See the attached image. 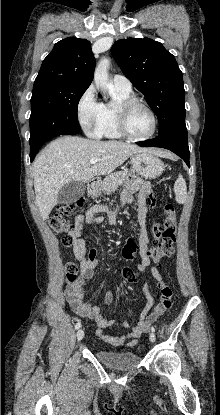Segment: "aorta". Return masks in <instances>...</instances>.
I'll use <instances>...</instances> for the list:
<instances>
[{
	"label": "aorta",
	"instance_id": "obj_1",
	"mask_svg": "<svg viewBox=\"0 0 220 415\" xmlns=\"http://www.w3.org/2000/svg\"><path fill=\"white\" fill-rule=\"evenodd\" d=\"M109 66L110 60L104 58L99 62L94 72L95 85L96 87L101 88L104 92L112 86L111 82H109Z\"/></svg>",
	"mask_w": 220,
	"mask_h": 415
}]
</instances>
